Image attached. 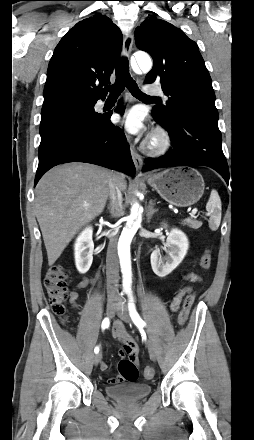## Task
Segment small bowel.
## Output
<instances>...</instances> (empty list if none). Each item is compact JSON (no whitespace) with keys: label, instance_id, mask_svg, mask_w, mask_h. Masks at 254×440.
Listing matches in <instances>:
<instances>
[{"label":"small bowel","instance_id":"1","mask_svg":"<svg viewBox=\"0 0 254 440\" xmlns=\"http://www.w3.org/2000/svg\"><path fill=\"white\" fill-rule=\"evenodd\" d=\"M186 279L191 282H198L200 281V277L197 274L190 273L186 276ZM94 282V279L84 278L77 284L78 288L86 287L88 284ZM190 290V287H184L182 288L173 298L171 303V308L173 311H177L179 309L182 297L186 292ZM77 297L78 293L75 290H73L70 294V300L74 307H79V304L77 303ZM112 335L114 339L120 344V350L119 354L120 356H127L129 359H132L135 363L138 361L139 357V347L137 342L134 340V338L128 333L126 328L124 327L123 323L119 320H116L113 324L112 328ZM108 365L107 363L103 362L101 364L102 370H107ZM123 379L120 375L111 377L108 379L109 384L115 385L120 382H122Z\"/></svg>","mask_w":254,"mask_h":440}]
</instances>
